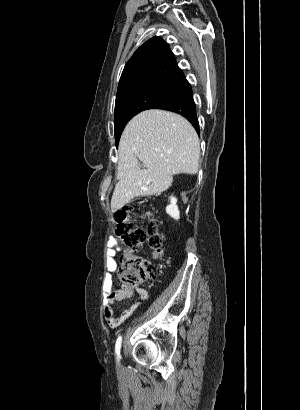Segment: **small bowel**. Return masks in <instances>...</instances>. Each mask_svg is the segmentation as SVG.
<instances>
[{
  "label": "small bowel",
  "mask_w": 300,
  "mask_h": 410,
  "mask_svg": "<svg viewBox=\"0 0 300 410\" xmlns=\"http://www.w3.org/2000/svg\"><path fill=\"white\" fill-rule=\"evenodd\" d=\"M108 248V274L105 276L103 281V314L110 327H117L135 312L140 303L147 298L148 293L144 288L140 287H120L113 289L114 283L111 272L117 267L115 255L118 252L125 251L115 239L108 240ZM134 295H137V301H135L129 308L123 310L120 315L116 316L114 312V304L118 301L131 298Z\"/></svg>",
  "instance_id": "obj_1"
}]
</instances>
